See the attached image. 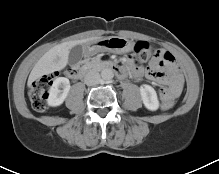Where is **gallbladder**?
Wrapping results in <instances>:
<instances>
[{"label": "gallbladder", "mask_w": 219, "mask_h": 174, "mask_svg": "<svg viewBox=\"0 0 219 174\" xmlns=\"http://www.w3.org/2000/svg\"><path fill=\"white\" fill-rule=\"evenodd\" d=\"M84 49L81 45H76L69 51L68 63L72 66L77 65L83 57Z\"/></svg>", "instance_id": "1"}]
</instances>
